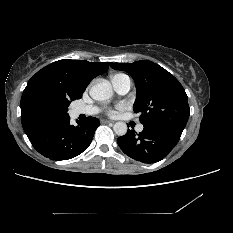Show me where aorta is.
Listing matches in <instances>:
<instances>
[{
  "label": "aorta",
  "instance_id": "aorta-1",
  "mask_svg": "<svg viewBox=\"0 0 233 233\" xmlns=\"http://www.w3.org/2000/svg\"><path fill=\"white\" fill-rule=\"evenodd\" d=\"M89 94L97 101L108 100L113 95L112 86L107 80H102L91 87ZM127 129V124L124 122H116L113 126V130L118 136L125 135L127 133Z\"/></svg>",
  "mask_w": 233,
  "mask_h": 233
}]
</instances>
